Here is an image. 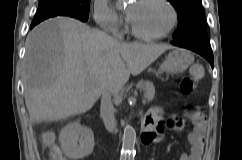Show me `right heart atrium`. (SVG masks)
Returning <instances> with one entry per match:
<instances>
[{
  "instance_id": "1",
  "label": "right heart atrium",
  "mask_w": 242,
  "mask_h": 160,
  "mask_svg": "<svg viewBox=\"0 0 242 160\" xmlns=\"http://www.w3.org/2000/svg\"><path fill=\"white\" fill-rule=\"evenodd\" d=\"M94 19L106 31L114 32L121 26L119 15L108 4L107 0H95Z\"/></svg>"
}]
</instances>
